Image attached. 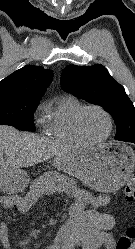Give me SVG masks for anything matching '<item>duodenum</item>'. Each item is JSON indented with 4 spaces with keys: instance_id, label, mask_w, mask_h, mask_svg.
Listing matches in <instances>:
<instances>
[{
    "instance_id": "duodenum-1",
    "label": "duodenum",
    "mask_w": 135,
    "mask_h": 249,
    "mask_svg": "<svg viewBox=\"0 0 135 249\" xmlns=\"http://www.w3.org/2000/svg\"><path fill=\"white\" fill-rule=\"evenodd\" d=\"M79 248V249H92L91 244L88 242L86 236L81 235H71L69 236L61 246H59V249H73V248Z\"/></svg>"
}]
</instances>
